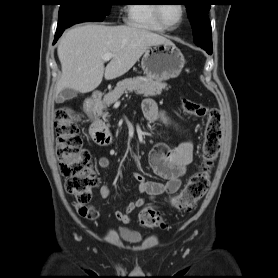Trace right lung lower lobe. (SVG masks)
Segmentation results:
<instances>
[{
  "instance_id": "right-lung-lower-lobe-1",
  "label": "right lung lower lobe",
  "mask_w": 278,
  "mask_h": 278,
  "mask_svg": "<svg viewBox=\"0 0 278 278\" xmlns=\"http://www.w3.org/2000/svg\"><path fill=\"white\" fill-rule=\"evenodd\" d=\"M66 28H61V29H57L56 34H55V40L54 43L58 40V38L62 35V33L64 32Z\"/></svg>"
}]
</instances>
